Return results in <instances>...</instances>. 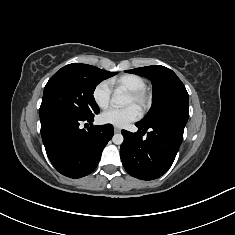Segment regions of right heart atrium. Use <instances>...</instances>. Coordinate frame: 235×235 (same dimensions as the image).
I'll list each match as a JSON object with an SVG mask.
<instances>
[{"label":"right heart atrium","mask_w":235,"mask_h":235,"mask_svg":"<svg viewBox=\"0 0 235 235\" xmlns=\"http://www.w3.org/2000/svg\"><path fill=\"white\" fill-rule=\"evenodd\" d=\"M112 94V87L109 81L99 82L92 91V98L95 104L101 108L105 109L110 104Z\"/></svg>","instance_id":"1"}]
</instances>
